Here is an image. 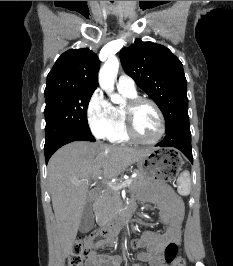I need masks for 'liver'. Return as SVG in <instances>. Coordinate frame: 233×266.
Wrapping results in <instances>:
<instances>
[{
  "instance_id": "6515ba94",
  "label": "liver",
  "mask_w": 233,
  "mask_h": 266,
  "mask_svg": "<svg viewBox=\"0 0 233 266\" xmlns=\"http://www.w3.org/2000/svg\"><path fill=\"white\" fill-rule=\"evenodd\" d=\"M150 151L101 142L76 141L65 145L51 157L48 163V182L62 262L72 251L88 199L90 180L97 176L107 180L116 178L129 165L146 157Z\"/></svg>"
}]
</instances>
